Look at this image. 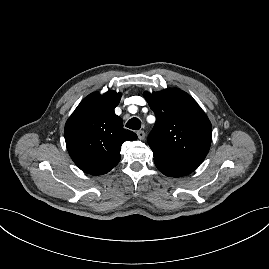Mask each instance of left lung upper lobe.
<instances>
[{
    "mask_svg": "<svg viewBox=\"0 0 269 269\" xmlns=\"http://www.w3.org/2000/svg\"><path fill=\"white\" fill-rule=\"evenodd\" d=\"M144 97L156 115L148 137L153 156L163 161L202 163L211 145L212 126L197 102L175 88L145 92Z\"/></svg>",
    "mask_w": 269,
    "mask_h": 269,
    "instance_id": "1",
    "label": "left lung upper lobe"
}]
</instances>
